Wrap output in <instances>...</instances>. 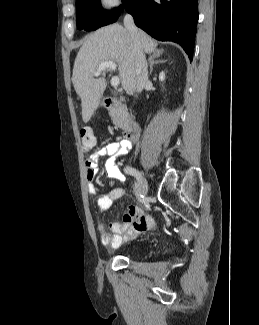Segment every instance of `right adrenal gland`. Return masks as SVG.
Returning <instances> with one entry per match:
<instances>
[{
	"label": "right adrenal gland",
	"mask_w": 259,
	"mask_h": 325,
	"mask_svg": "<svg viewBox=\"0 0 259 325\" xmlns=\"http://www.w3.org/2000/svg\"><path fill=\"white\" fill-rule=\"evenodd\" d=\"M162 54H163L162 50H157L149 56L148 61H149V65H150V72H149L150 75L152 74L153 66L155 64L165 62L164 60H155V59L159 58Z\"/></svg>",
	"instance_id": "obj_1"
}]
</instances>
